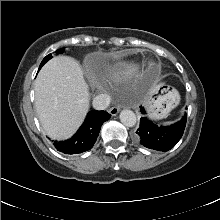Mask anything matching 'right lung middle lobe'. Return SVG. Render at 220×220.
<instances>
[{"instance_id": "obj_1", "label": "right lung middle lobe", "mask_w": 220, "mask_h": 220, "mask_svg": "<svg viewBox=\"0 0 220 220\" xmlns=\"http://www.w3.org/2000/svg\"><path fill=\"white\" fill-rule=\"evenodd\" d=\"M63 50H64V48L59 49V50H58V53H62ZM51 58H52V55H51V54L47 55V56L43 59V61L41 62L40 68H41L48 60H50Z\"/></svg>"}]
</instances>
